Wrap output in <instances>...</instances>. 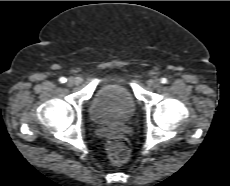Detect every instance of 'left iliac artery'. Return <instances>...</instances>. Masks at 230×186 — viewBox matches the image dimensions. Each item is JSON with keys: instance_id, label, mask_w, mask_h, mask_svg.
<instances>
[{"instance_id": "1", "label": "left iliac artery", "mask_w": 230, "mask_h": 186, "mask_svg": "<svg viewBox=\"0 0 230 186\" xmlns=\"http://www.w3.org/2000/svg\"><path fill=\"white\" fill-rule=\"evenodd\" d=\"M161 83H163V84H166L167 82H168V80L166 79V78H161Z\"/></svg>"}]
</instances>
